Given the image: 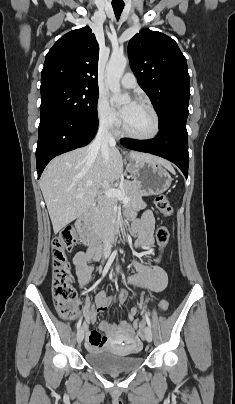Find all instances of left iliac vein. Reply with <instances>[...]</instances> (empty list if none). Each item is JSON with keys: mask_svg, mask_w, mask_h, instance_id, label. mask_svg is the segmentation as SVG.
Instances as JSON below:
<instances>
[{"mask_svg": "<svg viewBox=\"0 0 235 404\" xmlns=\"http://www.w3.org/2000/svg\"><path fill=\"white\" fill-rule=\"evenodd\" d=\"M144 335H145V338H146V340H147L148 342H151V341H152V339H153V334H152V330H151V328H150L149 326H146V327H145V329H144Z\"/></svg>", "mask_w": 235, "mask_h": 404, "instance_id": "left-iliac-vein-1", "label": "left iliac vein"}]
</instances>
